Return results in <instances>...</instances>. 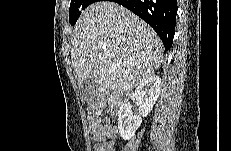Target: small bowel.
Returning a JSON list of instances; mask_svg holds the SVG:
<instances>
[{
  "instance_id": "1",
  "label": "small bowel",
  "mask_w": 231,
  "mask_h": 151,
  "mask_svg": "<svg viewBox=\"0 0 231 151\" xmlns=\"http://www.w3.org/2000/svg\"><path fill=\"white\" fill-rule=\"evenodd\" d=\"M89 128L96 141L95 151H111L115 144L116 135L114 128L109 124V120L91 117Z\"/></svg>"
}]
</instances>
